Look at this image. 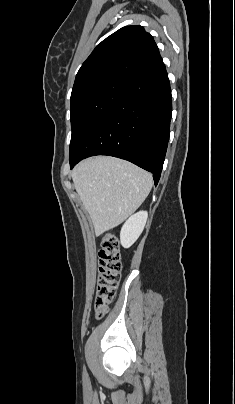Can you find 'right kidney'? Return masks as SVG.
<instances>
[{
  "instance_id": "ca27d5eb",
  "label": "right kidney",
  "mask_w": 235,
  "mask_h": 404,
  "mask_svg": "<svg viewBox=\"0 0 235 404\" xmlns=\"http://www.w3.org/2000/svg\"><path fill=\"white\" fill-rule=\"evenodd\" d=\"M146 211L132 215L123 225L120 232V242L124 248L131 247L142 233L147 221Z\"/></svg>"
}]
</instances>
